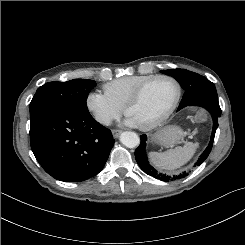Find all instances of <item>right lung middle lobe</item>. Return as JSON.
I'll return each mask as SVG.
<instances>
[{
  "label": "right lung middle lobe",
  "instance_id": "dd1d6c3e",
  "mask_svg": "<svg viewBox=\"0 0 245 245\" xmlns=\"http://www.w3.org/2000/svg\"><path fill=\"white\" fill-rule=\"evenodd\" d=\"M95 85V81L87 79L48 82L37 89L29 104L30 115L44 108H54L70 114L89 113L86 99Z\"/></svg>",
  "mask_w": 245,
  "mask_h": 245
}]
</instances>
